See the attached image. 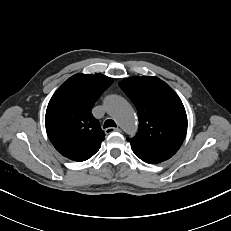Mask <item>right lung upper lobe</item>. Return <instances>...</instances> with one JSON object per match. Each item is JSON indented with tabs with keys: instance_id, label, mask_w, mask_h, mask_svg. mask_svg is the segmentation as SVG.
<instances>
[{
	"instance_id": "cb5924a9",
	"label": "right lung upper lobe",
	"mask_w": 231,
	"mask_h": 231,
	"mask_svg": "<svg viewBox=\"0 0 231 231\" xmlns=\"http://www.w3.org/2000/svg\"><path fill=\"white\" fill-rule=\"evenodd\" d=\"M113 79L102 74H76L67 79L51 98L45 116L47 135L56 150L70 160L92 157L104 140L91 109Z\"/></svg>"
}]
</instances>
